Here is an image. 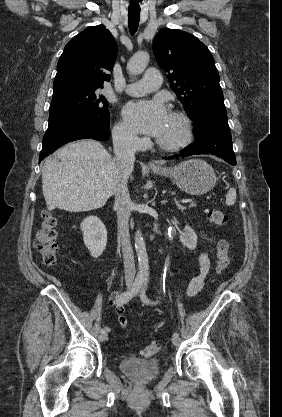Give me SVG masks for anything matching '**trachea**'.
Instances as JSON below:
<instances>
[{"instance_id": "obj_1", "label": "trachea", "mask_w": 282, "mask_h": 417, "mask_svg": "<svg viewBox=\"0 0 282 417\" xmlns=\"http://www.w3.org/2000/svg\"><path fill=\"white\" fill-rule=\"evenodd\" d=\"M140 10H129L128 11V25L129 31L131 34H134L137 31L139 26V17Z\"/></svg>"}]
</instances>
